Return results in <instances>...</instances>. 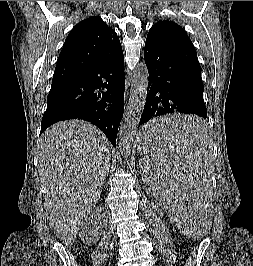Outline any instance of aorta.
I'll use <instances>...</instances> for the list:
<instances>
[{"label": "aorta", "instance_id": "aorta-1", "mask_svg": "<svg viewBox=\"0 0 253 266\" xmlns=\"http://www.w3.org/2000/svg\"><path fill=\"white\" fill-rule=\"evenodd\" d=\"M149 73L145 63L135 68L129 103L119 131V150L123 157L131 154L132 144L145 106Z\"/></svg>", "mask_w": 253, "mask_h": 266}]
</instances>
